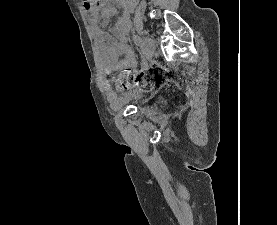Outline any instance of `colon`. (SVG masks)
Here are the masks:
<instances>
[{
  "instance_id": "1",
  "label": "colon",
  "mask_w": 277,
  "mask_h": 225,
  "mask_svg": "<svg viewBox=\"0 0 277 225\" xmlns=\"http://www.w3.org/2000/svg\"><path fill=\"white\" fill-rule=\"evenodd\" d=\"M121 84L123 87L138 86L144 91H150L154 86L153 73L151 71L131 72L125 69L121 72Z\"/></svg>"
}]
</instances>
